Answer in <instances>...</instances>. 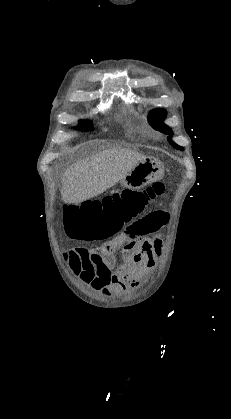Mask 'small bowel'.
<instances>
[{
  "label": "small bowel",
  "mask_w": 231,
  "mask_h": 419,
  "mask_svg": "<svg viewBox=\"0 0 231 419\" xmlns=\"http://www.w3.org/2000/svg\"><path fill=\"white\" fill-rule=\"evenodd\" d=\"M167 220L166 212L151 213L96 249H70L65 256L71 271L83 284L104 295H121L127 287L138 286L142 274L155 267L163 252L161 238H150L149 234L158 231ZM118 250L123 260L119 265L115 257Z\"/></svg>",
  "instance_id": "c3829d8e"
}]
</instances>
